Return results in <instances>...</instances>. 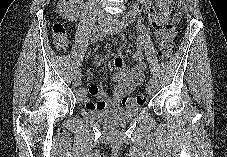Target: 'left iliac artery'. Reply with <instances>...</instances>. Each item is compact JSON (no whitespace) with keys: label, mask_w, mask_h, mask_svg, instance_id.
Returning a JSON list of instances; mask_svg holds the SVG:
<instances>
[{"label":"left iliac artery","mask_w":227,"mask_h":157,"mask_svg":"<svg viewBox=\"0 0 227 157\" xmlns=\"http://www.w3.org/2000/svg\"><path fill=\"white\" fill-rule=\"evenodd\" d=\"M126 26H128V21L127 20H123L121 22V28H125ZM148 83L153 84L154 80L152 78H150Z\"/></svg>","instance_id":"obj_1"}]
</instances>
